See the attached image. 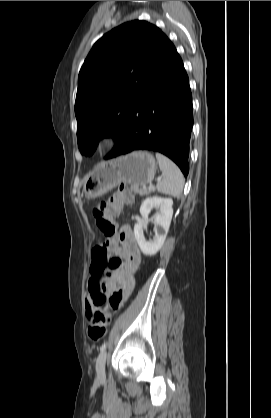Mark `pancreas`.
<instances>
[{
	"label": "pancreas",
	"mask_w": 271,
	"mask_h": 418,
	"mask_svg": "<svg viewBox=\"0 0 271 418\" xmlns=\"http://www.w3.org/2000/svg\"><path fill=\"white\" fill-rule=\"evenodd\" d=\"M131 191H133L135 194H139L141 196H144V195H149L151 192L155 191V189L154 188L147 189L144 186L143 187H139L136 184H132L131 185Z\"/></svg>",
	"instance_id": "cf45deb5"
}]
</instances>
